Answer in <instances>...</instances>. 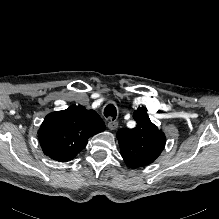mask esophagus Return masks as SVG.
<instances>
[{
	"instance_id": "obj_1",
	"label": "esophagus",
	"mask_w": 219,
	"mask_h": 219,
	"mask_svg": "<svg viewBox=\"0 0 219 219\" xmlns=\"http://www.w3.org/2000/svg\"><path fill=\"white\" fill-rule=\"evenodd\" d=\"M107 127L109 128V130L114 131L118 128V122L110 119L107 123Z\"/></svg>"
}]
</instances>
